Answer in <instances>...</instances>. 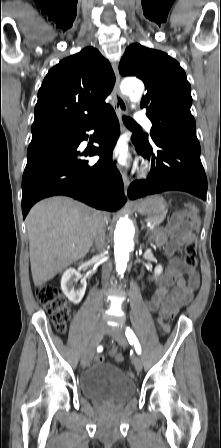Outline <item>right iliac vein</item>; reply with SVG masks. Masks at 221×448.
I'll use <instances>...</instances> for the list:
<instances>
[{
	"mask_svg": "<svg viewBox=\"0 0 221 448\" xmlns=\"http://www.w3.org/2000/svg\"><path fill=\"white\" fill-rule=\"evenodd\" d=\"M104 333H105V326L101 323L97 324L94 329L93 335L90 339L89 345L87 349L84 351L81 358V365L83 368H86L90 364V361L94 354V350Z\"/></svg>",
	"mask_w": 221,
	"mask_h": 448,
	"instance_id": "obj_1",
	"label": "right iliac vein"
}]
</instances>
